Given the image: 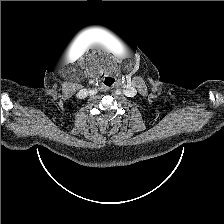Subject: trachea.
Segmentation results:
<instances>
[{
	"mask_svg": "<svg viewBox=\"0 0 224 224\" xmlns=\"http://www.w3.org/2000/svg\"><path fill=\"white\" fill-rule=\"evenodd\" d=\"M110 80V85L114 82V79L112 78H108ZM106 83H107V79H105Z\"/></svg>",
	"mask_w": 224,
	"mask_h": 224,
	"instance_id": "obj_1",
	"label": "trachea"
}]
</instances>
